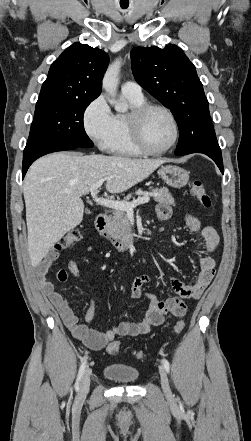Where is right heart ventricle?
<instances>
[{"mask_svg":"<svg viewBox=\"0 0 251 441\" xmlns=\"http://www.w3.org/2000/svg\"><path fill=\"white\" fill-rule=\"evenodd\" d=\"M124 96L130 103L132 110L146 103L143 95L137 97L124 94ZM128 116L129 114L122 113L114 115L115 131L107 150L119 155L139 156L144 152L136 146L131 137Z\"/></svg>","mask_w":251,"mask_h":441,"instance_id":"right-heart-ventricle-1","label":"right heart ventricle"}]
</instances>
